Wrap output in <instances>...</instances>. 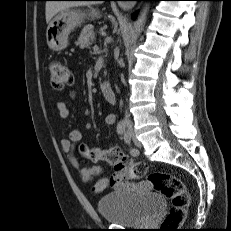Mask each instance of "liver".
I'll use <instances>...</instances> for the list:
<instances>
[{
  "mask_svg": "<svg viewBox=\"0 0 231 231\" xmlns=\"http://www.w3.org/2000/svg\"><path fill=\"white\" fill-rule=\"evenodd\" d=\"M98 4V2H85V1H48L46 3V22L50 23L51 19L59 12L71 7L78 6H91Z\"/></svg>",
  "mask_w": 231,
  "mask_h": 231,
  "instance_id": "obj_1",
  "label": "liver"
}]
</instances>
